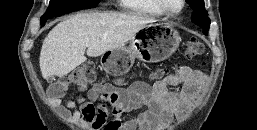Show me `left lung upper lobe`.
<instances>
[{"label":"left lung upper lobe","mask_w":257,"mask_h":130,"mask_svg":"<svg viewBox=\"0 0 257 130\" xmlns=\"http://www.w3.org/2000/svg\"><path fill=\"white\" fill-rule=\"evenodd\" d=\"M193 10L191 20L196 25L203 28V33L207 34L210 27V19L204 8V0H187Z\"/></svg>","instance_id":"5c2ea615"}]
</instances>
